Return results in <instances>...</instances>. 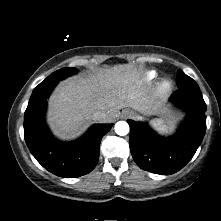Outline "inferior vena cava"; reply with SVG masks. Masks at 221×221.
<instances>
[{"label": "inferior vena cava", "mask_w": 221, "mask_h": 221, "mask_svg": "<svg viewBox=\"0 0 221 221\" xmlns=\"http://www.w3.org/2000/svg\"><path fill=\"white\" fill-rule=\"evenodd\" d=\"M106 118V114L101 111H96L93 113V120L101 122Z\"/></svg>", "instance_id": "obj_1"}]
</instances>
